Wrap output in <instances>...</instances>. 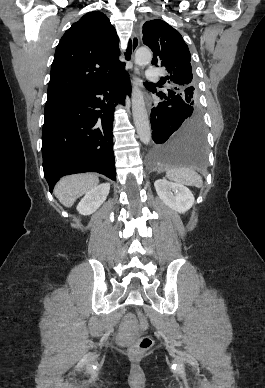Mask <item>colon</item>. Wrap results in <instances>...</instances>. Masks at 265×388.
Instances as JSON below:
<instances>
[{
    "mask_svg": "<svg viewBox=\"0 0 265 388\" xmlns=\"http://www.w3.org/2000/svg\"><path fill=\"white\" fill-rule=\"evenodd\" d=\"M139 326L142 330H146L149 326L148 319L144 315L141 309H138ZM153 340L149 336L140 337L136 343L132 346L131 351L133 353H140L151 348Z\"/></svg>",
    "mask_w": 265,
    "mask_h": 388,
    "instance_id": "colon-1",
    "label": "colon"
}]
</instances>
